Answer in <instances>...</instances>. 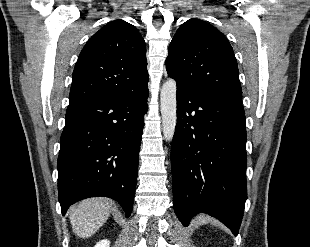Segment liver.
<instances>
[{
  "label": "liver",
  "mask_w": 310,
  "mask_h": 247,
  "mask_svg": "<svg viewBox=\"0 0 310 247\" xmlns=\"http://www.w3.org/2000/svg\"><path fill=\"white\" fill-rule=\"evenodd\" d=\"M113 202L106 198H90L79 202L71 209L70 223L73 232L80 238L92 236L107 221Z\"/></svg>",
  "instance_id": "6515ba94"
}]
</instances>
